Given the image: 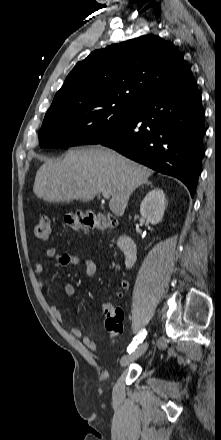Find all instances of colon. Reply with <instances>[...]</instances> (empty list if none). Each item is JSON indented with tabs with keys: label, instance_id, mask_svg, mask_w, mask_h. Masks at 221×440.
Returning a JSON list of instances; mask_svg holds the SVG:
<instances>
[{
	"label": "colon",
	"instance_id": "1",
	"mask_svg": "<svg viewBox=\"0 0 221 440\" xmlns=\"http://www.w3.org/2000/svg\"><path fill=\"white\" fill-rule=\"evenodd\" d=\"M64 225L71 230H108L113 228L117 220L109 214L96 213L91 210H75L64 215ZM51 233V220L47 216L40 217L34 226L36 238L46 240ZM105 316V327L112 340L116 339L123 331V311L105 303L101 305Z\"/></svg>",
	"mask_w": 221,
	"mask_h": 440
}]
</instances>
